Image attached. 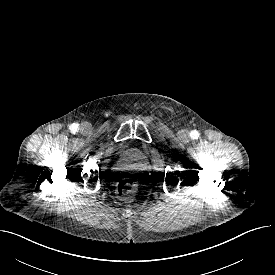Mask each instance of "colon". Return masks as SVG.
Instances as JSON below:
<instances>
[{
	"label": "colon",
	"mask_w": 275,
	"mask_h": 275,
	"mask_svg": "<svg viewBox=\"0 0 275 275\" xmlns=\"http://www.w3.org/2000/svg\"><path fill=\"white\" fill-rule=\"evenodd\" d=\"M136 190V184L132 180L121 181L117 185V194L123 200H131Z\"/></svg>",
	"instance_id": "5ec220e1"
}]
</instances>
